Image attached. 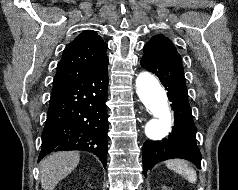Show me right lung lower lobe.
Listing matches in <instances>:
<instances>
[{
    "instance_id": "1",
    "label": "right lung lower lobe",
    "mask_w": 238,
    "mask_h": 190,
    "mask_svg": "<svg viewBox=\"0 0 238 190\" xmlns=\"http://www.w3.org/2000/svg\"><path fill=\"white\" fill-rule=\"evenodd\" d=\"M108 62L91 74L52 91L39 160L58 150H85L106 167Z\"/></svg>"
}]
</instances>
